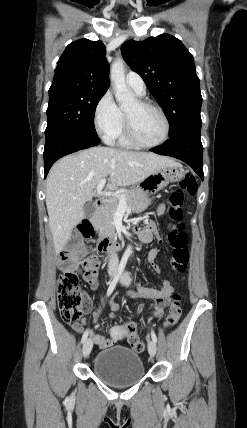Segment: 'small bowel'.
<instances>
[{
	"label": "small bowel",
	"mask_w": 247,
	"mask_h": 428,
	"mask_svg": "<svg viewBox=\"0 0 247 428\" xmlns=\"http://www.w3.org/2000/svg\"><path fill=\"white\" fill-rule=\"evenodd\" d=\"M164 211H165L164 205L159 206L158 213L161 215L164 213ZM152 230H153L152 225H148L147 227H145L143 229H139L137 232L139 239L142 242H149L152 238ZM159 252H160V250L158 248H153L150 250L148 257H147V261L149 264H151V265L154 264L155 260L157 259L158 255H159ZM86 255H89V252H87ZM155 269L158 270V267H155ZM82 277L84 280H86L92 284V287L94 290L98 289L99 283L96 280V277L94 279H90L88 272L84 269V267H83ZM173 291H174V288H173L171 282L168 279H165L162 282V285L157 289L146 287V286H138L133 295L137 296V297H149V298L153 299L154 303L151 305V307H152L153 305H155V301L158 298H163L168 303L169 298H170L171 294L173 293ZM109 306L112 310V313L110 315L111 318L112 319H119L115 314V312L119 310V305L113 301H110ZM90 311H91V301L89 299H86V301H85V313L88 314ZM125 321L126 320H124V324L126 326ZM132 323L134 325H136L134 322H132ZM73 328L77 332H81L83 330V325L76 323V324H73ZM93 339H94V342L101 348L109 347L114 342L113 339H106L105 337H103L102 335H99V334L94 335Z\"/></svg>",
	"instance_id": "small-bowel-1"
}]
</instances>
